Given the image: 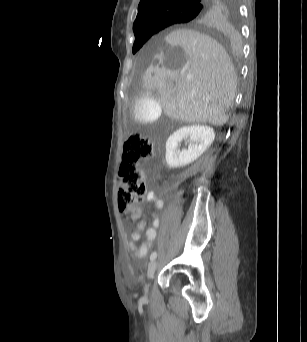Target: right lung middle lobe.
Here are the masks:
<instances>
[{"instance_id": "dd1d6c3e", "label": "right lung middle lobe", "mask_w": 307, "mask_h": 342, "mask_svg": "<svg viewBox=\"0 0 307 342\" xmlns=\"http://www.w3.org/2000/svg\"><path fill=\"white\" fill-rule=\"evenodd\" d=\"M197 14L198 11L195 9L179 10L166 15L165 20L160 26L135 34L133 54L136 53L146 43V41L158 31L173 24L188 22L192 20Z\"/></svg>"}]
</instances>
